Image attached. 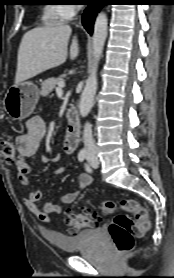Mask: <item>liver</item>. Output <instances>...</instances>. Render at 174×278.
Segmentation results:
<instances>
[{
	"label": "liver",
	"mask_w": 174,
	"mask_h": 278,
	"mask_svg": "<svg viewBox=\"0 0 174 278\" xmlns=\"http://www.w3.org/2000/svg\"><path fill=\"white\" fill-rule=\"evenodd\" d=\"M71 32V27L65 24L36 27L26 32L18 50L15 84L63 64L68 55ZM78 53L75 36L70 46V58L74 60Z\"/></svg>",
	"instance_id": "6515ba94"
}]
</instances>
